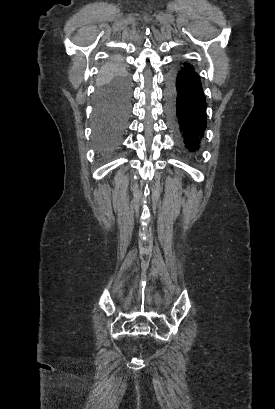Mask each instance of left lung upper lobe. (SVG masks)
I'll return each mask as SVG.
<instances>
[{
	"label": "left lung upper lobe",
	"mask_w": 275,
	"mask_h": 409,
	"mask_svg": "<svg viewBox=\"0 0 275 409\" xmlns=\"http://www.w3.org/2000/svg\"><path fill=\"white\" fill-rule=\"evenodd\" d=\"M186 66H188L191 69H194V66H192L191 64L185 63Z\"/></svg>",
	"instance_id": "left-lung-upper-lobe-1"
}]
</instances>
